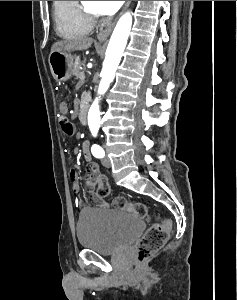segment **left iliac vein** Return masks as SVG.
<instances>
[{"instance_id":"1","label":"left iliac vein","mask_w":237,"mask_h":300,"mask_svg":"<svg viewBox=\"0 0 237 300\" xmlns=\"http://www.w3.org/2000/svg\"><path fill=\"white\" fill-rule=\"evenodd\" d=\"M102 165L106 168H110L111 167V161L109 160V158L107 156L103 157V159L101 160Z\"/></svg>"}]
</instances>
